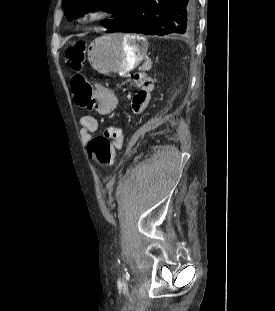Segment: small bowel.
<instances>
[{"instance_id":"small-bowel-1","label":"small bowel","mask_w":275,"mask_h":311,"mask_svg":"<svg viewBox=\"0 0 275 311\" xmlns=\"http://www.w3.org/2000/svg\"><path fill=\"white\" fill-rule=\"evenodd\" d=\"M134 79L137 82L135 92H133L131 112L141 113L144 108H151L150 93L154 92L156 85L155 80L151 79L150 73H135ZM180 86L184 85L183 81L179 82ZM175 92L179 91L178 87L174 88ZM118 107V98L111 89L106 86H97L95 88V99L89 110H94L100 115H107L115 111ZM98 130V123L94 117L84 115L80 118V134L85 142H88L92 134ZM105 136L112 139L116 148H121L124 139L123 128L118 124H106L102 127Z\"/></svg>"}]
</instances>
